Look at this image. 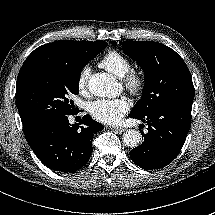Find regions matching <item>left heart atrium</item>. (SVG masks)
<instances>
[{
    "label": "left heart atrium",
    "instance_id": "left-heart-atrium-1",
    "mask_svg": "<svg viewBox=\"0 0 215 215\" xmlns=\"http://www.w3.org/2000/svg\"><path fill=\"white\" fill-rule=\"evenodd\" d=\"M130 111V105L125 98H100L91 103V116L103 123L114 124L121 120Z\"/></svg>",
    "mask_w": 215,
    "mask_h": 215
}]
</instances>
